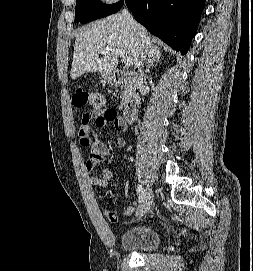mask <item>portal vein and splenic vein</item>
Returning <instances> with one entry per match:
<instances>
[{"instance_id":"portal-vein-and-splenic-vein-1","label":"portal vein and splenic vein","mask_w":253,"mask_h":271,"mask_svg":"<svg viewBox=\"0 0 253 271\" xmlns=\"http://www.w3.org/2000/svg\"><path fill=\"white\" fill-rule=\"evenodd\" d=\"M101 54H106L108 52H112L113 54H115L116 56H119L123 59L124 63H125V66L129 67L133 64V61L132 59H130L125 51L123 50H120V49H109V48H106V49H101L99 51Z\"/></svg>"}]
</instances>
